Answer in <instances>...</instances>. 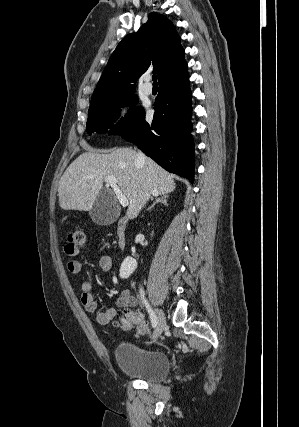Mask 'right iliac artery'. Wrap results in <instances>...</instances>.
<instances>
[{
    "mask_svg": "<svg viewBox=\"0 0 299 427\" xmlns=\"http://www.w3.org/2000/svg\"><path fill=\"white\" fill-rule=\"evenodd\" d=\"M139 293H140V297L142 299L143 304L145 305L146 309L148 310V313L150 315V320H151V323H152V327L154 328L157 325V317H156L154 311L151 309L150 305L148 304V302H147V300L145 298L144 290H143L142 287H140Z\"/></svg>",
    "mask_w": 299,
    "mask_h": 427,
    "instance_id": "obj_1",
    "label": "right iliac artery"
}]
</instances>
